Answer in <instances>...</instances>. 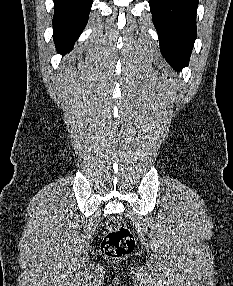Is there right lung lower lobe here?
I'll return each instance as SVG.
<instances>
[{"instance_id":"right-lung-lower-lobe-1","label":"right lung lower lobe","mask_w":233,"mask_h":286,"mask_svg":"<svg viewBox=\"0 0 233 286\" xmlns=\"http://www.w3.org/2000/svg\"><path fill=\"white\" fill-rule=\"evenodd\" d=\"M54 1V42L59 53L72 49L76 39L86 26L92 0Z\"/></svg>"}]
</instances>
